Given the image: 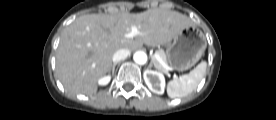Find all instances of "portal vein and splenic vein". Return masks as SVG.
I'll list each match as a JSON object with an SVG mask.
<instances>
[{"label":"portal vein and splenic vein","mask_w":276,"mask_h":120,"mask_svg":"<svg viewBox=\"0 0 276 120\" xmlns=\"http://www.w3.org/2000/svg\"><path fill=\"white\" fill-rule=\"evenodd\" d=\"M139 34H140L139 29L136 26H133L131 28V31L129 33L125 34L124 37L125 38H134L135 36H137ZM153 58L161 61L160 58H159V56L157 54H154Z\"/></svg>","instance_id":"1"}]
</instances>
